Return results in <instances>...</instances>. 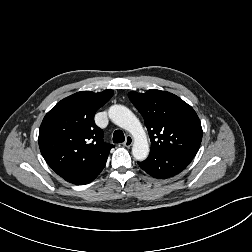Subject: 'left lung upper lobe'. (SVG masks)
<instances>
[{
	"mask_svg": "<svg viewBox=\"0 0 252 252\" xmlns=\"http://www.w3.org/2000/svg\"><path fill=\"white\" fill-rule=\"evenodd\" d=\"M128 96L144 118L151 140L150 155H196L202 127L190 105L172 93L156 89L144 94L130 92Z\"/></svg>",
	"mask_w": 252,
	"mask_h": 252,
	"instance_id": "left-lung-upper-lobe-1",
	"label": "left lung upper lobe"
}]
</instances>
